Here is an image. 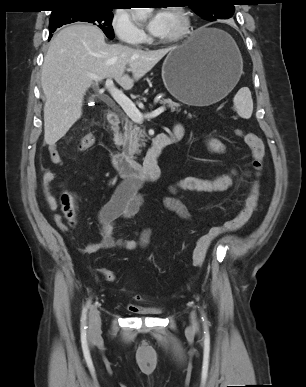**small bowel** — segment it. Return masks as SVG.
<instances>
[{"instance_id":"c3829d8e","label":"small bowel","mask_w":306,"mask_h":387,"mask_svg":"<svg viewBox=\"0 0 306 387\" xmlns=\"http://www.w3.org/2000/svg\"><path fill=\"white\" fill-rule=\"evenodd\" d=\"M173 135L184 134V129L180 124L174 126ZM206 145L210 152L219 154L225 149L224 144L217 138L208 136ZM49 155L53 164L63 167L64 161L58 153L55 145H50ZM235 171L220 175L214 179H203L195 176H187L178 180L171 188L172 194L178 190L195 192H223L231 187ZM58 174L52 170L45 169L42 176V186L45 201L50 210L57 208V202L51 194V184L57 179ZM140 183L124 182L115 191L109 201H107L98 211L97 222L99 224L100 240L89 243L81 251L86 254H94L102 250L120 248L127 251H134L139 248H145L150 243L152 230L144 229L137 240L121 238L116 235L115 230L118 223L122 220L131 218L139 210L142 204V196L139 192ZM165 207L175 213L182 219H188L190 214L183 202L174 195L164 199ZM54 222L62 231L67 230L60 215H54ZM130 310H138L136 304L130 305Z\"/></svg>"}]
</instances>
